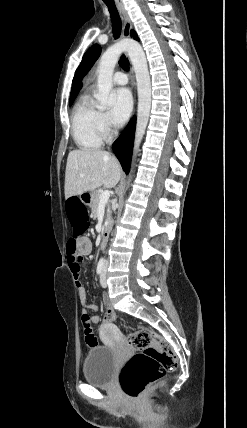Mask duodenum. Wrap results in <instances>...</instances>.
Here are the masks:
<instances>
[{
    "mask_svg": "<svg viewBox=\"0 0 247 428\" xmlns=\"http://www.w3.org/2000/svg\"><path fill=\"white\" fill-rule=\"evenodd\" d=\"M109 231H110V223L106 222L103 226L102 233H101V243H100L101 247L105 246L109 235Z\"/></svg>",
    "mask_w": 247,
    "mask_h": 428,
    "instance_id": "410a0bca",
    "label": "duodenum"
}]
</instances>
